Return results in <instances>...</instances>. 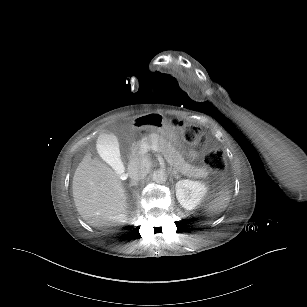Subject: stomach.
I'll return each mask as SVG.
<instances>
[{"label": "stomach", "mask_w": 307, "mask_h": 307, "mask_svg": "<svg viewBox=\"0 0 307 307\" xmlns=\"http://www.w3.org/2000/svg\"><path fill=\"white\" fill-rule=\"evenodd\" d=\"M134 125L138 128H149L160 133L166 140L175 146L182 148L180 137L176 128L161 114L150 113L134 119Z\"/></svg>", "instance_id": "stomach-1"}]
</instances>
